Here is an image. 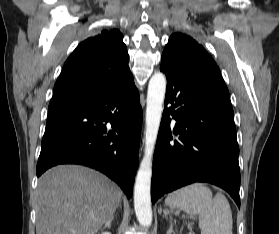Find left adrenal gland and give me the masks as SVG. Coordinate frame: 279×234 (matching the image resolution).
<instances>
[{
	"label": "left adrenal gland",
	"mask_w": 279,
	"mask_h": 234,
	"mask_svg": "<svg viewBox=\"0 0 279 234\" xmlns=\"http://www.w3.org/2000/svg\"><path fill=\"white\" fill-rule=\"evenodd\" d=\"M175 234V232H174V230H173V223L172 222H170V226H169V229H168V231H167V234Z\"/></svg>",
	"instance_id": "obj_1"
}]
</instances>
